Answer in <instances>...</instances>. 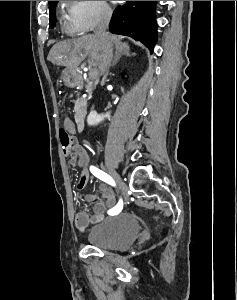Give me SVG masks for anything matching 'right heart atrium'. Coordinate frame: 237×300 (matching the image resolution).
Listing matches in <instances>:
<instances>
[{"instance_id":"right-heart-atrium-1","label":"right heart atrium","mask_w":237,"mask_h":300,"mask_svg":"<svg viewBox=\"0 0 237 300\" xmlns=\"http://www.w3.org/2000/svg\"><path fill=\"white\" fill-rule=\"evenodd\" d=\"M68 28L75 34H85L108 24L113 11L106 1H66Z\"/></svg>"}]
</instances>
